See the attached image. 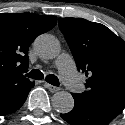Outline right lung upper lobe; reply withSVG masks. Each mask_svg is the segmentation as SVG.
Here are the masks:
<instances>
[{
    "mask_svg": "<svg viewBox=\"0 0 125 125\" xmlns=\"http://www.w3.org/2000/svg\"><path fill=\"white\" fill-rule=\"evenodd\" d=\"M56 23V16L0 14V90L12 84L30 82L23 75L28 70L29 45Z\"/></svg>",
    "mask_w": 125,
    "mask_h": 125,
    "instance_id": "cb5924a9",
    "label": "right lung upper lobe"
}]
</instances>
